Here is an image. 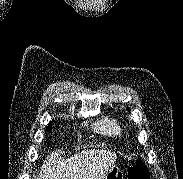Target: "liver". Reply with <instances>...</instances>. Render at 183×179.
<instances>
[{"mask_svg":"<svg viewBox=\"0 0 183 179\" xmlns=\"http://www.w3.org/2000/svg\"><path fill=\"white\" fill-rule=\"evenodd\" d=\"M110 150H84L68 159L52 152L35 179H104L116 161Z\"/></svg>","mask_w":183,"mask_h":179,"instance_id":"1","label":"liver"}]
</instances>
